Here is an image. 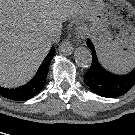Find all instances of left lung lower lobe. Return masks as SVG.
<instances>
[{"label":"left lung lower lobe","instance_id":"obj_1","mask_svg":"<svg viewBox=\"0 0 135 135\" xmlns=\"http://www.w3.org/2000/svg\"><path fill=\"white\" fill-rule=\"evenodd\" d=\"M86 43L91 49L93 60L88 72L84 74V81L91 91L102 97L116 98L135 85V69L124 76L106 71L98 62L93 43L90 40Z\"/></svg>","mask_w":135,"mask_h":135}]
</instances>
